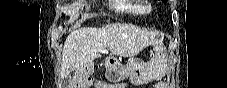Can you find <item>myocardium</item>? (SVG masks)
I'll return each mask as SVG.
<instances>
[{
    "label": "myocardium",
    "mask_w": 227,
    "mask_h": 88,
    "mask_svg": "<svg viewBox=\"0 0 227 88\" xmlns=\"http://www.w3.org/2000/svg\"><path fill=\"white\" fill-rule=\"evenodd\" d=\"M141 11L145 15H149V14L152 13V9L151 8H148V7H144Z\"/></svg>",
    "instance_id": "1"
}]
</instances>
